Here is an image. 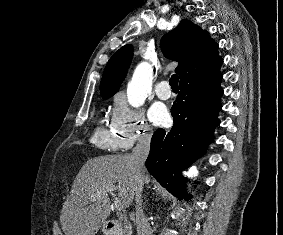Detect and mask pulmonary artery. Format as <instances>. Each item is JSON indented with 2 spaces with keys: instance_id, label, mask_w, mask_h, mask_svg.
Here are the masks:
<instances>
[{
  "instance_id": "obj_1",
  "label": "pulmonary artery",
  "mask_w": 283,
  "mask_h": 235,
  "mask_svg": "<svg viewBox=\"0 0 283 235\" xmlns=\"http://www.w3.org/2000/svg\"><path fill=\"white\" fill-rule=\"evenodd\" d=\"M155 93L159 99L167 100L171 97L172 92L169 88V83L166 80L159 82L155 88Z\"/></svg>"
}]
</instances>
